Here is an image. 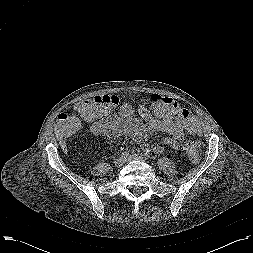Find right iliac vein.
Returning <instances> with one entry per match:
<instances>
[{
    "label": "right iliac vein",
    "mask_w": 253,
    "mask_h": 253,
    "mask_svg": "<svg viewBox=\"0 0 253 253\" xmlns=\"http://www.w3.org/2000/svg\"><path fill=\"white\" fill-rule=\"evenodd\" d=\"M124 163H125V159L122 158V157H116L114 159V165L117 166V167L122 166Z\"/></svg>",
    "instance_id": "63e3f726"
}]
</instances>
